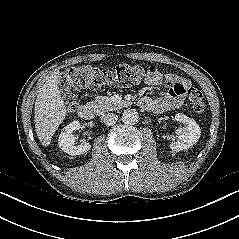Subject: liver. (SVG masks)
<instances>
[{"mask_svg": "<svg viewBox=\"0 0 239 239\" xmlns=\"http://www.w3.org/2000/svg\"><path fill=\"white\" fill-rule=\"evenodd\" d=\"M59 78L60 71L54 70L39 90L35 102V130L43 146L50 144L67 113L58 87Z\"/></svg>", "mask_w": 239, "mask_h": 239, "instance_id": "1", "label": "liver"}]
</instances>
